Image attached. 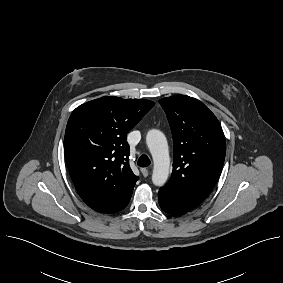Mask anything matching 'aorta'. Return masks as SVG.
Here are the masks:
<instances>
[{
	"label": "aorta",
	"instance_id": "1",
	"mask_svg": "<svg viewBox=\"0 0 283 283\" xmlns=\"http://www.w3.org/2000/svg\"><path fill=\"white\" fill-rule=\"evenodd\" d=\"M146 143L154 162L152 182L156 186H163L168 179L170 166L167 139L161 131L152 129L147 133Z\"/></svg>",
	"mask_w": 283,
	"mask_h": 283
}]
</instances>
